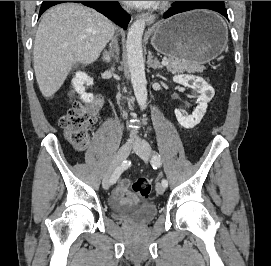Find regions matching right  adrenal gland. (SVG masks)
<instances>
[{
  "mask_svg": "<svg viewBox=\"0 0 271 266\" xmlns=\"http://www.w3.org/2000/svg\"><path fill=\"white\" fill-rule=\"evenodd\" d=\"M115 49H116V54H117L116 59H118L119 47H118V44H117L116 41H115ZM103 61L106 62V63L111 62V52H108L106 50L104 51V53H103Z\"/></svg>",
  "mask_w": 271,
  "mask_h": 266,
  "instance_id": "1",
  "label": "right adrenal gland"
}]
</instances>
